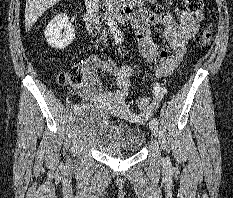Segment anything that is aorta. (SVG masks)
Here are the masks:
<instances>
[{"label":"aorta","instance_id":"762f6f07","mask_svg":"<svg viewBox=\"0 0 233 198\" xmlns=\"http://www.w3.org/2000/svg\"><path fill=\"white\" fill-rule=\"evenodd\" d=\"M107 25L109 27L111 34L113 35L114 40L117 42L121 41L123 39L122 32L120 31L117 23L114 21V19L111 16L107 17Z\"/></svg>","mask_w":233,"mask_h":198}]
</instances>
